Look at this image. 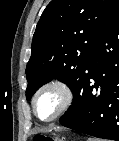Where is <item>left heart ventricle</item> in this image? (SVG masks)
<instances>
[{"label": "left heart ventricle", "mask_w": 119, "mask_h": 141, "mask_svg": "<svg viewBox=\"0 0 119 141\" xmlns=\"http://www.w3.org/2000/svg\"><path fill=\"white\" fill-rule=\"evenodd\" d=\"M60 103V95L55 90L44 92L37 100L36 109L41 118H48L55 113Z\"/></svg>", "instance_id": "left-heart-ventricle-1"}]
</instances>
